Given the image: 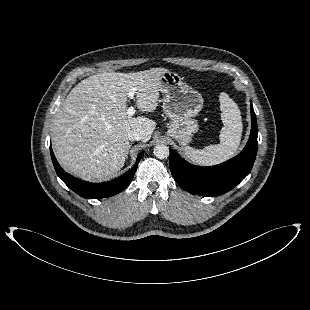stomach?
Listing matches in <instances>:
<instances>
[{
  "label": "stomach",
  "instance_id": "stomach-1",
  "mask_svg": "<svg viewBox=\"0 0 310 310\" xmlns=\"http://www.w3.org/2000/svg\"><path fill=\"white\" fill-rule=\"evenodd\" d=\"M160 81L164 94L162 107L171 120L167 134L185 146L198 131L197 121L193 118L201 111L203 98L175 72H165Z\"/></svg>",
  "mask_w": 310,
  "mask_h": 310
}]
</instances>
